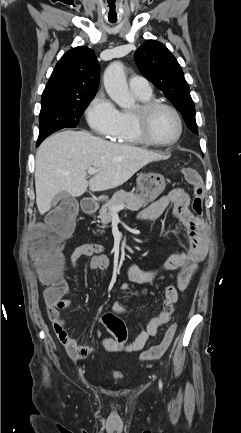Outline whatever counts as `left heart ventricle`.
Returning a JSON list of instances; mask_svg holds the SVG:
<instances>
[{
    "label": "left heart ventricle",
    "instance_id": "obj_1",
    "mask_svg": "<svg viewBox=\"0 0 241 433\" xmlns=\"http://www.w3.org/2000/svg\"><path fill=\"white\" fill-rule=\"evenodd\" d=\"M149 130L155 140L170 142L177 136L178 124L170 111L159 109L151 118Z\"/></svg>",
    "mask_w": 241,
    "mask_h": 433
}]
</instances>
